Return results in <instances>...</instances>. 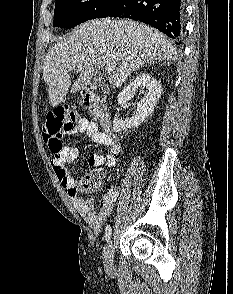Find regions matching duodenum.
I'll return each instance as SVG.
<instances>
[{
	"mask_svg": "<svg viewBox=\"0 0 233 294\" xmlns=\"http://www.w3.org/2000/svg\"><path fill=\"white\" fill-rule=\"evenodd\" d=\"M82 102L86 109H88L91 114L100 123L103 130L111 134V121L109 113L103 104L102 100L93 92L89 90L82 91Z\"/></svg>",
	"mask_w": 233,
	"mask_h": 294,
	"instance_id": "obj_1",
	"label": "duodenum"
}]
</instances>
